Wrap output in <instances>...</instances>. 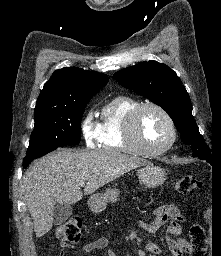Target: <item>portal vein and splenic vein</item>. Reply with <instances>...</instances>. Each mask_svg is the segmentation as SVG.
Here are the masks:
<instances>
[{"mask_svg":"<svg viewBox=\"0 0 221 256\" xmlns=\"http://www.w3.org/2000/svg\"><path fill=\"white\" fill-rule=\"evenodd\" d=\"M85 185V182L84 181H81L80 183H79V186H84Z\"/></svg>","mask_w":221,"mask_h":256,"instance_id":"obj_1","label":"portal vein and splenic vein"}]
</instances>
